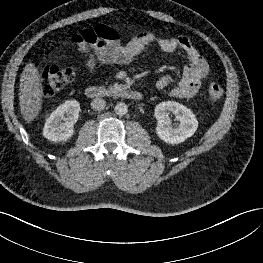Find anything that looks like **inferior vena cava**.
I'll list each match as a JSON object with an SVG mask.
<instances>
[{"label":"inferior vena cava","instance_id":"1","mask_svg":"<svg viewBox=\"0 0 263 263\" xmlns=\"http://www.w3.org/2000/svg\"><path fill=\"white\" fill-rule=\"evenodd\" d=\"M106 106V102L102 98H95L91 102V107L94 110L100 111L103 110Z\"/></svg>","mask_w":263,"mask_h":263}]
</instances>
